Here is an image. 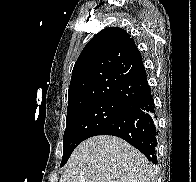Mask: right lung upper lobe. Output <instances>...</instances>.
<instances>
[{
	"mask_svg": "<svg viewBox=\"0 0 196 182\" xmlns=\"http://www.w3.org/2000/svg\"><path fill=\"white\" fill-rule=\"evenodd\" d=\"M140 51L121 28L97 33L77 59L69 86L68 109L110 99L132 104L149 86Z\"/></svg>",
	"mask_w": 196,
	"mask_h": 182,
	"instance_id": "1",
	"label": "right lung upper lobe"
}]
</instances>
